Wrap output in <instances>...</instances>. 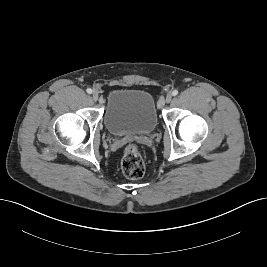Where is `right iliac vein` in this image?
<instances>
[{
  "label": "right iliac vein",
  "mask_w": 267,
  "mask_h": 267,
  "mask_svg": "<svg viewBox=\"0 0 267 267\" xmlns=\"http://www.w3.org/2000/svg\"><path fill=\"white\" fill-rule=\"evenodd\" d=\"M92 97H93V99H94L95 101H97L99 95H98V93H97L96 91H94V92L92 93Z\"/></svg>",
  "instance_id": "63e3f726"
}]
</instances>
